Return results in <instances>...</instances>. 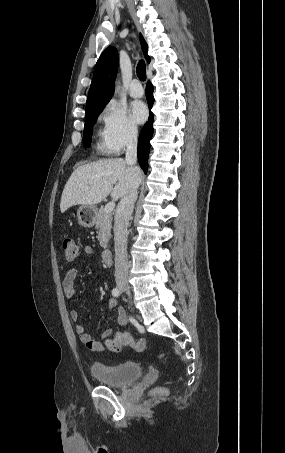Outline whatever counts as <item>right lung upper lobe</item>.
Segmentation results:
<instances>
[{
  "label": "right lung upper lobe",
  "instance_id": "1",
  "mask_svg": "<svg viewBox=\"0 0 285 453\" xmlns=\"http://www.w3.org/2000/svg\"><path fill=\"white\" fill-rule=\"evenodd\" d=\"M140 45L148 62L147 44L140 34ZM118 67V52L115 47H107L96 63L92 83L86 102V113L103 109L114 92V82Z\"/></svg>",
  "mask_w": 285,
  "mask_h": 453
}]
</instances>
